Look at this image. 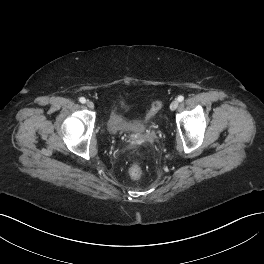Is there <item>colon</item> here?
<instances>
[{"label":"colon","instance_id":"obj_1","mask_svg":"<svg viewBox=\"0 0 264 264\" xmlns=\"http://www.w3.org/2000/svg\"><path fill=\"white\" fill-rule=\"evenodd\" d=\"M162 107V103L160 101H155L150 110L148 111L147 117L151 118L154 116ZM143 174V170L138 164H132L129 168V175L132 179H139Z\"/></svg>","mask_w":264,"mask_h":264}]
</instances>
